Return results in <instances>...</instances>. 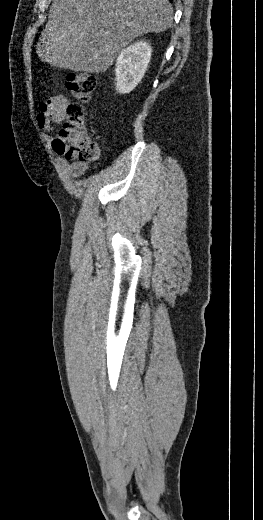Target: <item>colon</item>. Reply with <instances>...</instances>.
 Wrapping results in <instances>:
<instances>
[{
  "label": "colon",
  "mask_w": 263,
  "mask_h": 520,
  "mask_svg": "<svg viewBox=\"0 0 263 520\" xmlns=\"http://www.w3.org/2000/svg\"><path fill=\"white\" fill-rule=\"evenodd\" d=\"M66 85L77 102L67 107V117L54 140V149L69 160L93 161L99 155V148L84 130L82 104L91 98L96 88V79L88 73H69Z\"/></svg>",
  "instance_id": "obj_1"
}]
</instances>
